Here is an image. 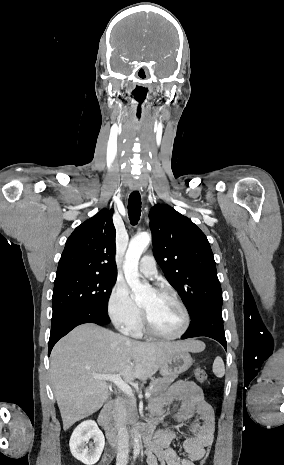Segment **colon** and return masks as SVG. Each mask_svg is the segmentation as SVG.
Listing matches in <instances>:
<instances>
[{"mask_svg":"<svg viewBox=\"0 0 284 465\" xmlns=\"http://www.w3.org/2000/svg\"><path fill=\"white\" fill-rule=\"evenodd\" d=\"M194 375H195V378L200 382H205L207 380V374L205 370L202 368H197L194 372ZM205 449H206V453L204 455L205 457L202 458L203 462H201L200 465H207L206 463L207 459L211 458L212 446L210 444H207L205 446Z\"/></svg>","mask_w":284,"mask_h":465,"instance_id":"5ec220e1","label":"colon"}]
</instances>
